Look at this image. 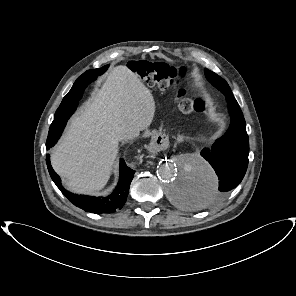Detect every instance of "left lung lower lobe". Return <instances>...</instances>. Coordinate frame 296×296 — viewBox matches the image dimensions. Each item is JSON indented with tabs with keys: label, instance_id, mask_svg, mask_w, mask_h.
<instances>
[{
	"label": "left lung lower lobe",
	"instance_id": "0a47b994",
	"mask_svg": "<svg viewBox=\"0 0 296 296\" xmlns=\"http://www.w3.org/2000/svg\"><path fill=\"white\" fill-rule=\"evenodd\" d=\"M231 116L227 132L212 146L204 148L201 156L213 167L219 178V187L214 193L203 194L197 191L185 176L176 191V198L183 201L184 207L202 208L223 198L239 185L248 166L249 139L243 113L234 96L226 98Z\"/></svg>",
	"mask_w": 296,
	"mask_h": 296
}]
</instances>
